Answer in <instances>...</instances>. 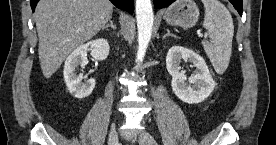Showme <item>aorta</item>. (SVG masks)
<instances>
[{"label": "aorta", "mask_w": 276, "mask_h": 145, "mask_svg": "<svg viewBox=\"0 0 276 145\" xmlns=\"http://www.w3.org/2000/svg\"><path fill=\"white\" fill-rule=\"evenodd\" d=\"M135 11L138 28V50L136 61L140 64L143 62L152 35L154 19L151 0H136Z\"/></svg>", "instance_id": "obj_1"}]
</instances>
